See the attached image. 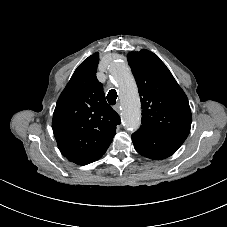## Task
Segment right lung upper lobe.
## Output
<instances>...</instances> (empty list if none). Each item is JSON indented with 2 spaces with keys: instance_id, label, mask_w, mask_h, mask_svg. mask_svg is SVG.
<instances>
[{
  "instance_id": "obj_1",
  "label": "right lung upper lobe",
  "mask_w": 227,
  "mask_h": 227,
  "mask_svg": "<svg viewBox=\"0 0 227 227\" xmlns=\"http://www.w3.org/2000/svg\"><path fill=\"white\" fill-rule=\"evenodd\" d=\"M98 63L96 52L77 67L53 114L52 129L58 148L64 157L78 165L101 158L120 123L96 78Z\"/></svg>"
}]
</instances>
